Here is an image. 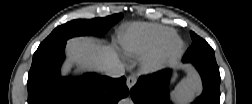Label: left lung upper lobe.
Segmentation results:
<instances>
[{"instance_id":"left-lung-upper-lobe-1","label":"left lung upper lobe","mask_w":252,"mask_h":104,"mask_svg":"<svg viewBox=\"0 0 252 104\" xmlns=\"http://www.w3.org/2000/svg\"><path fill=\"white\" fill-rule=\"evenodd\" d=\"M190 34L193 42L184 55V60L187 62L198 60L216 61L211 46L194 32H190Z\"/></svg>"}]
</instances>
